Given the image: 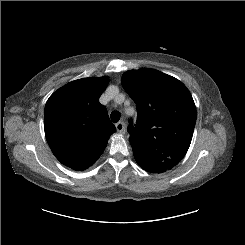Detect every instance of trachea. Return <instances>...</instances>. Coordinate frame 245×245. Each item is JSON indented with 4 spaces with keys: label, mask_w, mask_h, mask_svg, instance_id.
<instances>
[{
    "label": "trachea",
    "mask_w": 245,
    "mask_h": 245,
    "mask_svg": "<svg viewBox=\"0 0 245 245\" xmlns=\"http://www.w3.org/2000/svg\"><path fill=\"white\" fill-rule=\"evenodd\" d=\"M120 113L118 111H113L111 113V121L117 123L120 120Z\"/></svg>",
    "instance_id": "obj_1"
}]
</instances>
